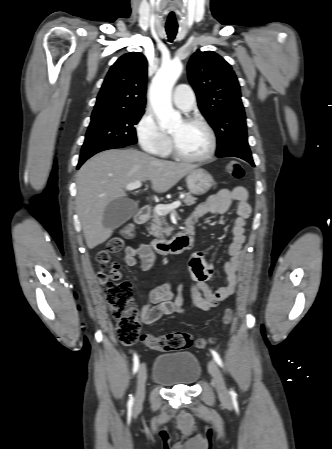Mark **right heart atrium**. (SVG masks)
I'll use <instances>...</instances> for the list:
<instances>
[{
  "label": "right heart atrium",
  "mask_w": 332,
  "mask_h": 449,
  "mask_svg": "<svg viewBox=\"0 0 332 449\" xmlns=\"http://www.w3.org/2000/svg\"><path fill=\"white\" fill-rule=\"evenodd\" d=\"M137 136L142 148L154 155H165L170 148L169 136L161 130L155 117L145 112L136 126Z\"/></svg>",
  "instance_id": "d8ad5b80"
}]
</instances>
